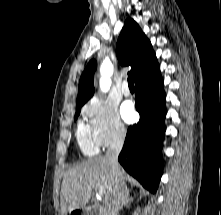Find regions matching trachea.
<instances>
[{"label":"trachea","mask_w":221,"mask_h":215,"mask_svg":"<svg viewBox=\"0 0 221 215\" xmlns=\"http://www.w3.org/2000/svg\"><path fill=\"white\" fill-rule=\"evenodd\" d=\"M128 85H129V88H134V79L132 76L128 77Z\"/></svg>","instance_id":"3493384b"}]
</instances>
